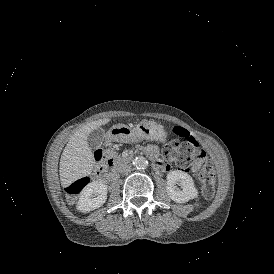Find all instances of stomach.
<instances>
[{
  "mask_svg": "<svg viewBox=\"0 0 274 274\" xmlns=\"http://www.w3.org/2000/svg\"><path fill=\"white\" fill-rule=\"evenodd\" d=\"M107 141L134 142L139 140H159L165 142L166 133L153 121L143 120L134 128L125 124L113 125L107 132Z\"/></svg>",
  "mask_w": 274,
  "mask_h": 274,
  "instance_id": "stomach-1",
  "label": "stomach"
}]
</instances>
